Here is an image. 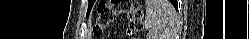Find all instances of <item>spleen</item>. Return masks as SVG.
I'll return each mask as SVG.
<instances>
[{
	"label": "spleen",
	"instance_id": "1",
	"mask_svg": "<svg viewBox=\"0 0 249 39\" xmlns=\"http://www.w3.org/2000/svg\"><path fill=\"white\" fill-rule=\"evenodd\" d=\"M173 8L167 0H147L144 25L148 39H169Z\"/></svg>",
	"mask_w": 249,
	"mask_h": 39
}]
</instances>
